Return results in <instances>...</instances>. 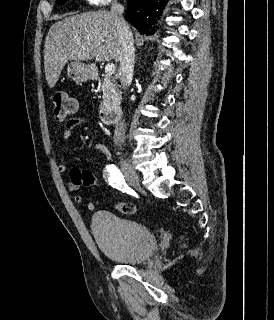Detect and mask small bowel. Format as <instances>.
Listing matches in <instances>:
<instances>
[{"label":"small bowel","mask_w":274,"mask_h":320,"mask_svg":"<svg viewBox=\"0 0 274 320\" xmlns=\"http://www.w3.org/2000/svg\"><path fill=\"white\" fill-rule=\"evenodd\" d=\"M75 107H76V102H75ZM85 123H86V120L84 118L75 117V118H72V119L68 120V122L65 124V126L63 128V131H62V137H61V149H60V152H61L62 159L59 162L58 167H57L59 172L64 173L68 169L67 162L65 161L66 144H67V142L72 137L74 129L76 127H78V126H81V125L85 124ZM93 148H94V150L102 152V153L105 154L106 162H110L111 161V156L109 155L108 150L104 145L96 144V145H94ZM81 171H84L85 173H87L90 176L92 175V173L90 171H87V170H81ZM81 186H84V185H77V184H74L72 182H69L67 184V188L69 190H71V191H76ZM75 201L78 204L85 203L86 209L88 211H93L94 208H95L94 203L91 202V201H86L84 196H82V195H77L75 197Z\"/></svg>","instance_id":"c3829d8e"}]
</instances>
